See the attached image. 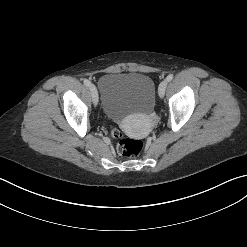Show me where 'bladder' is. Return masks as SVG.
I'll return each instance as SVG.
<instances>
[{
    "instance_id": "31cf9c89",
    "label": "bladder",
    "mask_w": 247,
    "mask_h": 247,
    "mask_svg": "<svg viewBox=\"0 0 247 247\" xmlns=\"http://www.w3.org/2000/svg\"><path fill=\"white\" fill-rule=\"evenodd\" d=\"M97 92L105 116L116 123L133 113L150 112L155 102L154 82L144 74L104 75L98 82Z\"/></svg>"
}]
</instances>
